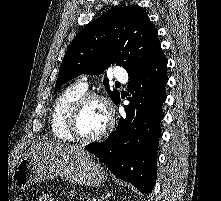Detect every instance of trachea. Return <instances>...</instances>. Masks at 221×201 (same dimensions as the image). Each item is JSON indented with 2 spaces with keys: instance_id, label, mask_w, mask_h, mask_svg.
<instances>
[{
  "instance_id": "1",
  "label": "trachea",
  "mask_w": 221,
  "mask_h": 201,
  "mask_svg": "<svg viewBox=\"0 0 221 201\" xmlns=\"http://www.w3.org/2000/svg\"><path fill=\"white\" fill-rule=\"evenodd\" d=\"M116 85H120V83H119V82H117V83H116Z\"/></svg>"
}]
</instances>
